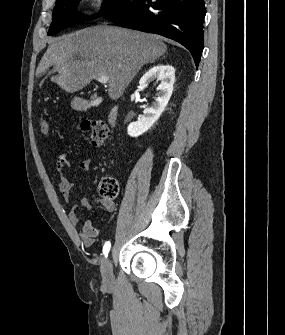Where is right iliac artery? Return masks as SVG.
<instances>
[{"label": "right iliac artery", "mask_w": 285, "mask_h": 335, "mask_svg": "<svg viewBox=\"0 0 285 335\" xmlns=\"http://www.w3.org/2000/svg\"><path fill=\"white\" fill-rule=\"evenodd\" d=\"M110 247H111V244H110L109 241L104 244V246H103V253H104L105 257H107L108 252L110 250Z\"/></svg>", "instance_id": "1"}]
</instances>
